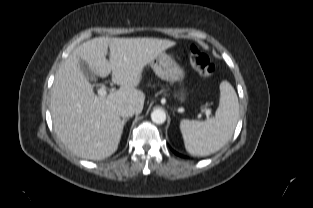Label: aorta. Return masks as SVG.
<instances>
[{
  "label": "aorta",
  "mask_w": 313,
  "mask_h": 208,
  "mask_svg": "<svg viewBox=\"0 0 313 208\" xmlns=\"http://www.w3.org/2000/svg\"><path fill=\"white\" fill-rule=\"evenodd\" d=\"M151 119L156 124H162L166 121V113L162 109H155L151 113Z\"/></svg>",
  "instance_id": "1"
}]
</instances>
